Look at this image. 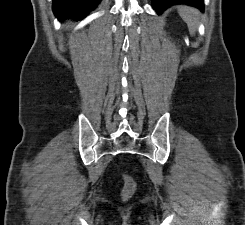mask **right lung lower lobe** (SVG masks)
Segmentation results:
<instances>
[{"mask_svg":"<svg viewBox=\"0 0 245 225\" xmlns=\"http://www.w3.org/2000/svg\"><path fill=\"white\" fill-rule=\"evenodd\" d=\"M101 0H53V11L59 19L83 18Z\"/></svg>","mask_w":245,"mask_h":225,"instance_id":"98d812e1","label":"right lung lower lobe"}]
</instances>
